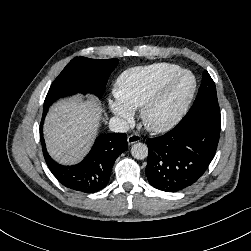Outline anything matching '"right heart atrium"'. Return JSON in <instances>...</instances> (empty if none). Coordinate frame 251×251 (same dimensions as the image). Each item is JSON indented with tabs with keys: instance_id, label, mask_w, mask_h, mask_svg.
I'll return each mask as SVG.
<instances>
[{
	"instance_id": "1",
	"label": "right heart atrium",
	"mask_w": 251,
	"mask_h": 251,
	"mask_svg": "<svg viewBox=\"0 0 251 251\" xmlns=\"http://www.w3.org/2000/svg\"><path fill=\"white\" fill-rule=\"evenodd\" d=\"M108 107L116 117L122 120H129L133 115V110L121 101L116 95L108 99Z\"/></svg>"
}]
</instances>
